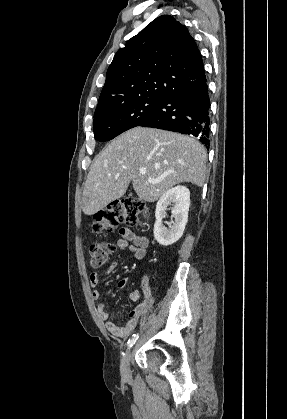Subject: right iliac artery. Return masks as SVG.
I'll list each match as a JSON object with an SVG mask.
<instances>
[{"instance_id": "82829eb1", "label": "right iliac artery", "mask_w": 287, "mask_h": 419, "mask_svg": "<svg viewBox=\"0 0 287 419\" xmlns=\"http://www.w3.org/2000/svg\"><path fill=\"white\" fill-rule=\"evenodd\" d=\"M138 337H139L138 334H133V336L131 337V339L128 340L127 346L129 348L132 347L133 344H135V342L137 341Z\"/></svg>"}]
</instances>
